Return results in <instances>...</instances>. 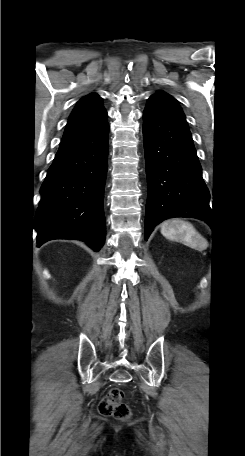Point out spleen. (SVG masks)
<instances>
[{
	"label": "spleen",
	"mask_w": 245,
	"mask_h": 456,
	"mask_svg": "<svg viewBox=\"0 0 245 456\" xmlns=\"http://www.w3.org/2000/svg\"><path fill=\"white\" fill-rule=\"evenodd\" d=\"M161 233L167 239L182 241L194 249L207 247V242L196 231L194 226L179 218L164 221L161 224Z\"/></svg>",
	"instance_id": "spleen-1"
}]
</instances>
